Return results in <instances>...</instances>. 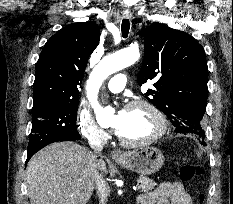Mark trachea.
Segmentation results:
<instances>
[{
  "label": "trachea",
  "mask_w": 233,
  "mask_h": 204,
  "mask_svg": "<svg viewBox=\"0 0 233 204\" xmlns=\"http://www.w3.org/2000/svg\"><path fill=\"white\" fill-rule=\"evenodd\" d=\"M129 29H130V23L128 19H123L122 20V25H121V32L123 38H126L129 34Z\"/></svg>",
  "instance_id": "1"
}]
</instances>
